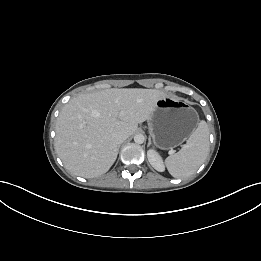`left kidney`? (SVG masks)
<instances>
[{
  "instance_id": "left-kidney-1",
  "label": "left kidney",
  "mask_w": 261,
  "mask_h": 261,
  "mask_svg": "<svg viewBox=\"0 0 261 261\" xmlns=\"http://www.w3.org/2000/svg\"><path fill=\"white\" fill-rule=\"evenodd\" d=\"M147 158L150 164L159 172H163L165 170L163 160L161 156L153 149L148 150Z\"/></svg>"
}]
</instances>
